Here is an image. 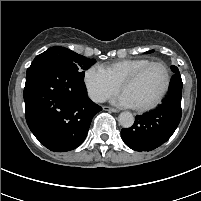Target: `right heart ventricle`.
<instances>
[{
    "label": "right heart ventricle",
    "mask_w": 201,
    "mask_h": 201,
    "mask_svg": "<svg viewBox=\"0 0 201 201\" xmlns=\"http://www.w3.org/2000/svg\"><path fill=\"white\" fill-rule=\"evenodd\" d=\"M150 61L146 58L119 60L106 65L104 69L113 81L120 85L127 76Z\"/></svg>",
    "instance_id": "obj_1"
}]
</instances>
